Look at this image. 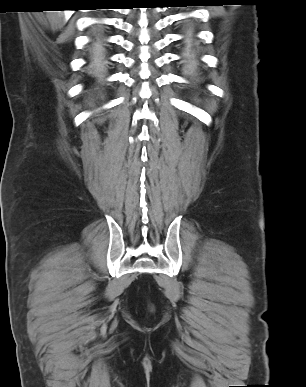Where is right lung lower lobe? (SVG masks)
Listing matches in <instances>:
<instances>
[{
  "mask_svg": "<svg viewBox=\"0 0 306 387\" xmlns=\"http://www.w3.org/2000/svg\"><path fill=\"white\" fill-rule=\"evenodd\" d=\"M102 52V42L100 40H96L93 44V57L94 59H99Z\"/></svg>",
  "mask_w": 306,
  "mask_h": 387,
  "instance_id": "1",
  "label": "right lung lower lobe"
}]
</instances>
